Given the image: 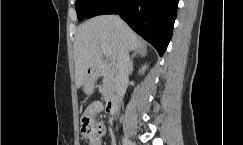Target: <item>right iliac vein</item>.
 I'll return each instance as SVG.
<instances>
[{"label": "right iliac vein", "instance_id": "obj_1", "mask_svg": "<svg viewBox=\"0 0 243 145\" xmlns=\"http://www.w3.org/2000/svg\"><path fill=\"white\" fill-rule=\"evenodd\" d=\"M123 145H135V144L129 141L127 138H123Z\"/></svg>", "mask_w": 243, "mask_h": 145}]
</instances>
